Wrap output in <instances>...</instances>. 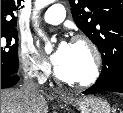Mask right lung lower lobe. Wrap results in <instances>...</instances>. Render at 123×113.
Listing matches in <instances>:
<instances>
[{
    "instance_id": "obj_1",
    "label": "right lung lower lobe",
    "mask_w": 123,
    "mask_h": 113,
    "mask_svg": "<svg viewBox=\"0 0 123 113\" xmlns=\"http://www.w3.org/2000/svg\"><path fill=\"white\" fill-rule=\"evenodd\" d=\"M19 80V76L17 74L8 75L1 73V89L8 88L15 85Z\"/></svg>"
}]
</instances>
